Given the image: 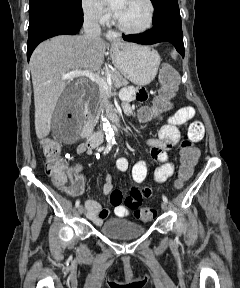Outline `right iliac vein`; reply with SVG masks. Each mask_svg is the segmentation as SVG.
<instances>
[{
    "label": "right iliac vein",
    "instance_id": "1",
    "mask_svg": "<svg viewBox=\"0 0 240 288\" xmlns=\"http://www.w3.org/2000/svg\"><path fill=\"white\" fill-rule=\"evenodd\" d=\"M78 213H79L80 215H82V214L84 213V208H83L82 205L79 206V208H78Z\"/></svg>",
    "mask_w": 240,
    "mask_h": 288
}]
</instances>
